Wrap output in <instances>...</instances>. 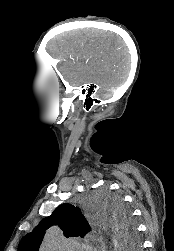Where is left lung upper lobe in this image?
I'll return each mask as SVG.
<instances>
[{"label": "left lung upper lobe", "instance_id": "1", "mask_svg": "<svg viewBox=\"0 0 174 251\" xmlns=\"http://www.w3.org/2000/svg\"><path fill=\"white\" fill-rule=\"evenodd\" d=\"M106 211L113 215L118 231L126 240L127 244L136 246V228L131 218L130 211L123 205L121 199L112 196L107 199ZM58 224L64 231L65 237H83L91 228L78 207L71 204H62L57 207L52 215L44 218L33 232L26 234L19 246L18 251H38L42 239L50 226Z\"/></svg>", "mask_w": 174, "mask_h": 251}]
</instances>
